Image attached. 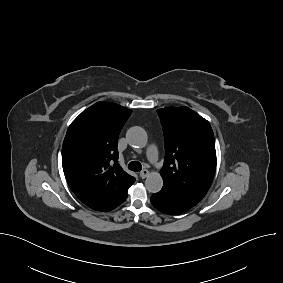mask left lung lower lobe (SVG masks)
<instances>
[{
  "label": "left lung lower lobe",
  "instance_id": "1",
  "mask_svg": "<svg viewBox=\"0 0 283 283\" xmlns=\"http://www.w3.org/2000/svg\"><path fill=\"white\" fill-rule=\"evenodd\" d=\"M150 200L155 208L169 215L181 214L191 208L175 193L165 187L160 192L153 194Z\"/></svg>",
  "mask_w": 283,
  "mask_h": 283
}]
</instances>
